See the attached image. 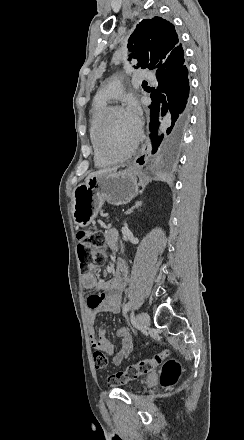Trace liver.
Segmentation results:
<instances>
[{"mask_svg":"<svg viewBox=\"0 0 244 440\" xmlns=\"http://www.w3.org/2000/svg\"><path fill=\"white\" fill-rule=\"evenodd\" d=\"M118 168H104V170H98V172H93V174H89L87 178H85V184L88 182L89 178H94V176H103V174H108V172H116Z\"/></svg>","mask_w":244,"mask_h":440,"instance_id":"1","label":"liver"}]
</instances>
